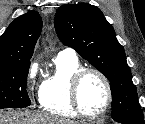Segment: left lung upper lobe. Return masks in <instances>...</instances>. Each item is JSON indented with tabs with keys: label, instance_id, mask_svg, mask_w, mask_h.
I'll list each match as a JSON object with an SVG mask.
<instances>
[{
	"label": "left lung upper lobe",
	"instance_id": "obj_1",
	"mask_svg": "<svg viewBox=\"0 0 145 124\" xmlns=\"http://www.w3.org/2000/svg\"><path fill=\"white\" fill-rule=\"evenodd\" d=\"M55 29L64 45L75 49L110 81L112 118L123 124H144L124 48L100 9L90 4L62 5L55 15Z\"/></svg>",
	"mask_w": 145,
	"mask_h": 124
}]
</instances>
